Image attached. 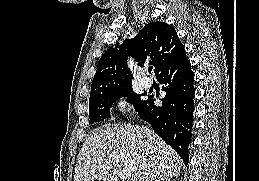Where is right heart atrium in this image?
Instances as JSON below:
<instances>
[{"mask_svg":"<svg viewBox=\"0 0 259 181\" xmlns=\"http://www.w3.org/2000/svg\"><path fill=\"white\" fill-rule=\"evenodd\" d=\"M127 106H128L127 101L124 98H118L114 102L115 109L120 112H125L127 110Z\"/></svg>","mask_w":259,"mask_h":181,"instance_id":"1","label":"right heart atrium"}]
</instances>
